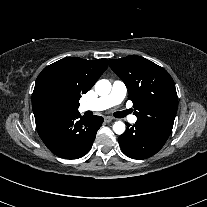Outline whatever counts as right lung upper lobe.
Returning a JSON list of instances; mask_svg holds the SVG:
<instances>
[{
	"label": "right lung upper lobe",
	"mask_w": 207,
	"mask_h": 207,
	"mask_svg": "<svg viewBox=\"0 0 207 207\" xmlns=\"http://www.w3.org/2000/svg\"><path fill=\"white\" fill-rule=\"evenodd\" d=\"M107 66V59L71 57L44 68L32 94L36 126L78 112L81 95L91 89Z\"/></svg>",
	"instance_id": "right-lung-upper-lobe-1"
}]
</instances>
